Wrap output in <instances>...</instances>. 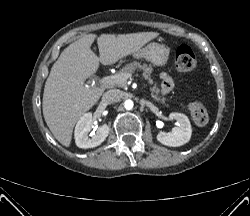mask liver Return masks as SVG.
Wrapping results in <instances>:
<instances>
[{"mask_svg": "<svg viewBox=\"0 0 250 216\" xmlns=\"http://www.w3.org/2000/svg\"><path fill=\"white\" fill-rule=\"evenodd\" d=\"M158 35L156 32L89 34L62 51L46 80L42 102L47 126L62 145H70L76 122L104 92L103 87L89 88L84 85V81L96 73L99 63L113 65L137 52ZM95 39L100 58L91 50Z\"/></svg>", "mask_w": 250, "mask_h": 216, "instance_id": "obj_1", "label": "liver"}]
</instances>
